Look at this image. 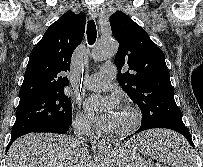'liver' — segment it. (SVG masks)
I'll list each match as a JSON object with an SVG mask.
<instances>
[{
    "instance_id": "1",
    "label": "liver",
    "mask_w": 203,
    "mask_h": 167,
    "mask_svg": "<svg viewBox=\"0 0 203 167\" xmlns=\"http://www.w3.org/2000/svg\"><path fill=\"white\" fill-rule=\"evenodd\" d=\"M143 141H135L138 147ZM108 160L112 163L111 154ZM5 167H93L88 150L80 153L74 138L57 134L30 133L8 150Z\"/></svg>"
}]
</instances>
